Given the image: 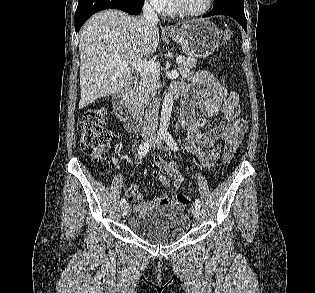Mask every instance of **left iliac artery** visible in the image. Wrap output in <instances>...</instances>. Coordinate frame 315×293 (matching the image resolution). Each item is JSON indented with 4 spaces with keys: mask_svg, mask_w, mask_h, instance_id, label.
I'll return each instance as SVG.
<instances>
[{
    "mask_svg": "<svg viewBox=\"0 0 315 293\" xmlns=\"http://www.w3.org/2000/svg\"><path fill=\"white\" fill-rule=\"evenodd\" d=\"M162 140H164L166 142V144L174 151L178 150V146L176 141L174 140V138L171 136V134L169 132H162L161 133V137ZM195 204L198 207H201V201L199 199H196Z\"/></svg>",
    "mask_w": 315,
    "mask_h": 293,
    "instance_id": "44dca946",
    "label": "left iliac artery"
}]
</instances>
